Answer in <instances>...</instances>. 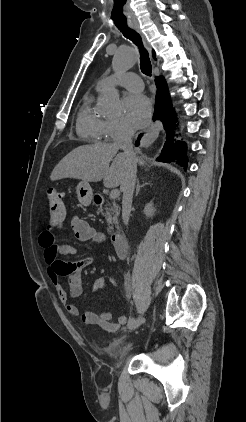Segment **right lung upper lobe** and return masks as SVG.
<instances>
[{
  "label": "right lung upper lobe",
  "instance_id": "obj_1",
  "mask_svg": "<svg viewBox=\"0 0 246 422\" xmlns=\"http://www.w3.org/2000/svg\"><path fill=\"white\" fill-rule=\"evenodd\" d=\"M153 56H154V58H155V53L153 52Z\"/></svg>",
  "mask_w": 246,
  "mask_h": 422
}]
</instances>
